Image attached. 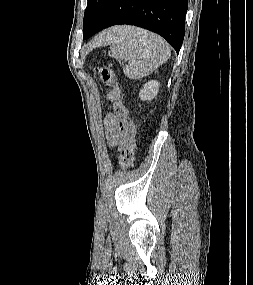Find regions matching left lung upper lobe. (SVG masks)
I'll list each match as a JSON object with an SVG mask.
<instances>
[{"label":"left lung upper lobe","instance_id":"5c2ea615","mask_svg":"<svg viewBox=\"0 0 253 285\" xmlns=\"http://www.w3.org/2000/svg\"><path fill=\"white\" fill-rule=\"evenodd\" d=\"M110 0H88L83 20L84 38L95 26Z\"/></svg>","mask_w":253,"mask_h":285}]
</instances>
